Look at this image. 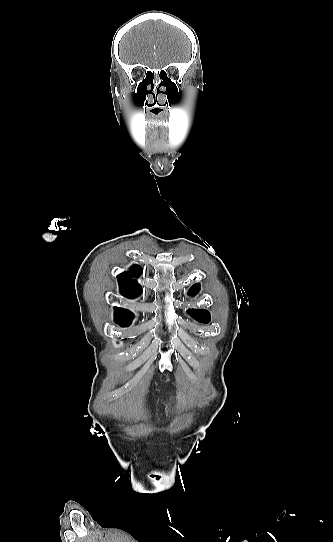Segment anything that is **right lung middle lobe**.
I'll use <instances>...</instances> for the list:
<instances>
[{"instance_id":"obj_1","label":"right lung middle lobe","mask_w":333,"mask_h":542,"mask_svg":"<svg viewBox=\"0 0 333 542\" xmlns=\"http://www.w3.org/2000/svg\"><path fill=\"white\" fill-rule=\"evenodd\" d=\"M116 322L122 327H128L131 324V319L116 318Z\"/></svg>"}]
</instances>
